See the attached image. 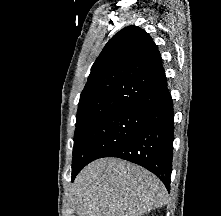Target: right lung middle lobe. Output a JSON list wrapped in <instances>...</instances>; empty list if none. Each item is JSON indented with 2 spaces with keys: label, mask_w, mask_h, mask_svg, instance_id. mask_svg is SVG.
Here are the masks:
<instances>
[{
  "label": "right lung middle lobe",
  "mask_w": 221,
  "mask_h": 216,
  "mask_svg": "<svg viewBox=\"0 0 221 216\" xmlns=\"http://www.w3.org/2000/svg\"><path fill=\"white\" fill-rule=\"evenodd\" d=\"M146 113L116 111L76 124L72 168L104 157L131 138L144 123Z\"/></svg>",
  "instance_id": "1"
}]
</instances>
